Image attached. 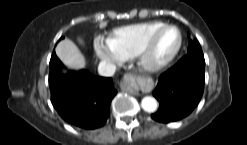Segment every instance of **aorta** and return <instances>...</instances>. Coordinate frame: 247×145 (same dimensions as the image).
Listing matches in <instances>:
<instances>
[{"label":"aorta","mask_w":247,"mask_h":145,"mask_svg":"<svg viewBox=\"0 0 247 145\" xmlns=\"http://www.w3.org/2000/svg\"><path fill=\"white\" fill-rule=\"evenodd\" d=\"M141 106L144 111L152 113L157 109V101L151 96H146L142 99Z\"/></svg>","instance_id":"762f6f07"}]
</instances>
